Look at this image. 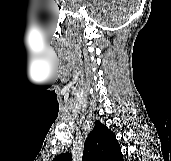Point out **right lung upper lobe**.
<instances>
[{
    "label": "right lung upper lobe",
    "mask_w": 171,
    "mask_h": 161,
    "mask_svg": "<svg viewBox=\"0 0 171 161\" xmlns=\"http://www.w3.org/2000/svg\"><path fill=\"white\" fill-rule=\"evenodd\" d=\"M53 161H72V157L69 153L60 154ZM82 161H123L115 134L100 121L95 122L86 139Z\"/></svg>",
    "instance_id": "obj_1"
}]
</instances>
